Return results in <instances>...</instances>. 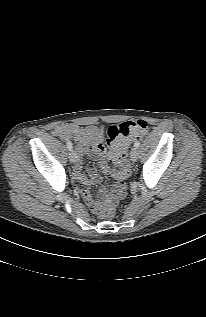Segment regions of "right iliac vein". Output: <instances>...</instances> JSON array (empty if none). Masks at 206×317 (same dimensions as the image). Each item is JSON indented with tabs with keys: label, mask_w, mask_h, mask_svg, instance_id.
Here are the masks:
<instances>
[{
	"label": "right iliac vein",
	"mask_w": 206,
	"mask_h": 317,
	"mask_svg": "<svg viewBox=\"0 0 206 317\" xmlns=\"http://www.w3.org/2000/svg\"><path fill=\"white\" fill-rule=\"evenodd\" d=\"M69 159H70L71 163H75L76 162L77 157H76L75 151H73V150L70 151Z\"/></svg>",
	"instance_id": "right-iliac-vein-1"
}]
</instances>
